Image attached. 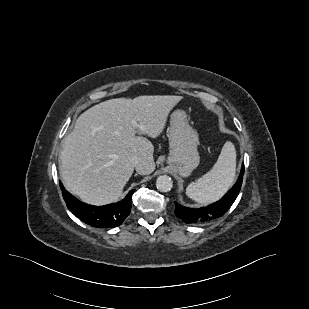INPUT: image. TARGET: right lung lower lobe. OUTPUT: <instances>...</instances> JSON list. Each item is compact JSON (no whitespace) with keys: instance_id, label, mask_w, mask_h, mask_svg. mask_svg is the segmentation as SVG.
Returning a JSON list of instances; mask_svg holds the SVG:
<instances>
[{"instance_id":"1","label":"right lung lower lobe","mask_w":309,"mask_h":309,"mask_svg":"<svg viewBox=\"0 0 309 309\" xmlns=\"http://www.w3.org/2000/svg\"><path fill=\"white\" fill-rule=\"evenodd\" d=\"M63 198L69 210L84 223L97 228H113L123 223L131 212L132 194L131 190L125 199L105 206H92L79 201L65 190L60 182Z\"/></svg>"}]
</instances>
